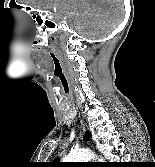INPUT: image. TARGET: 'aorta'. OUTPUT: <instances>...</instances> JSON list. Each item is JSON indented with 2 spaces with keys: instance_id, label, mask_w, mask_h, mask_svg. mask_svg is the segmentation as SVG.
Instances as JSON below:
<instances>
[{
  "instance_id": "1",
  "label": "aorta",
  "mask_w": 155,
  "mask_h": 167,
  "mask_svg": "<svg viewBox=\"0 0 155 167\" xmlns=\"http://www.w3.org/2000/svg\"><path fill=\"white\" fill-rule=\"evenodd\" d=\"M95 154L88 149H80L71 151L67 156L63 158L64 162H88L92 158H95Z\"/></svg>"
}]
</instances>
